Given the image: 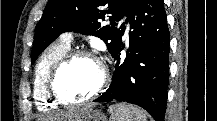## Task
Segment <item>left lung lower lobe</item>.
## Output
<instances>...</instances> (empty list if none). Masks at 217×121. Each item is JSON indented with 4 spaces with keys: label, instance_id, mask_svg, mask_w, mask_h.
I'll list each match as a JSON object with an SVG mask.
<instances>
[{
    "label": "left lung lower lobe",
    "instance_id": "obj_1",
    "mask_svg": "<svg viewBox=\"0 0 217 121\" xmlns=\"http://www.w3.org/2000/svg\"><path fill=\"white\" fill-rule=\"evenodd\" d=\"M128 21V52L121 55V40L112 57L116 71L108 90L95 102L119 101L136 104L155 121H164L169 84L170 33L163 0H134Z\"/></svg>",
    "mask_w": 217,
    "mask_h": 121
}]
</instances>
